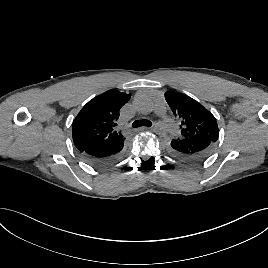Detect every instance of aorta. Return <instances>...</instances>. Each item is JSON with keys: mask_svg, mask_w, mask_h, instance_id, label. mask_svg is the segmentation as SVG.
<instances>
[{"mask_svg": "<svg viewBox=\"0 0 268 268\" xmlns=\"http://www.w3.org/2000/svg\"><path fill=\"white\" fill-rule=\"evenodd\" d=\"M136 107L142 114L150 115L156 107V102L150 94H142L136 100ZM168 133L167 126L163 124H156L153 127V134L160 139L167 137Z\"/></svg>", "mask_w": 268, "mask_h": 268, "instance_id": "obj_1", "label": "aorta"}]
</instances>
